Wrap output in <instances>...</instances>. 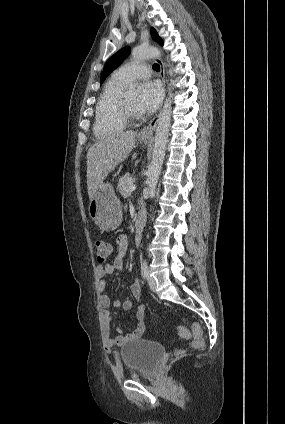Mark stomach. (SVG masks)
<instances>
[{
	"label": "stomach",
	"mask_w": 285,
	"mask_h": 424,
	"mask_svg": "<svg viewBox=\"0 0 285 424\" xmlns=\"http://www.w3.org/2000/svg\"><path fill=\"white\" fill-rule=\"evenodd\" d=\"M148 143V138L141 139ZM88 211L94 223L104 231L116 229L122 222V207L110 183H103L92 199Z\"/></svg>",
	"instance_id": "obj_1"
}]
</instances>
